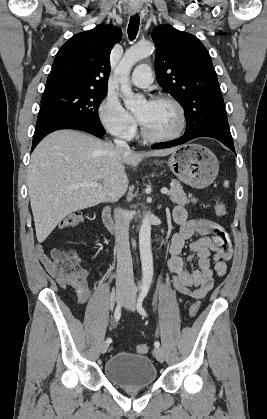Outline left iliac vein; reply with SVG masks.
Segmentation results:
<instances>
[{"mask_svg":"<svg viewBox=\"0 0 267 419\" xmlns=\"http://www.w3.org/2000/svg\"><path fill=\"white\" fill-rule=\"evenodd\" d=\"M135 304H136V296L132 295L131 297L128 298V300L125 303V307H127L128 309H130L131 311H135ZM153 354L155 356V358L159 361V362H163L164 361V353L163 350L159 347H156L153 350Z\"/></svg>","mask_w":267,"mask_h":419,"instance_id":"1","label":"left iliac vein"}]
</instances>
